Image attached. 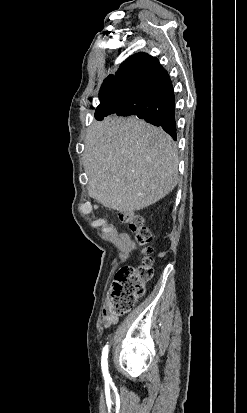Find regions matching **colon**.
Instances as JSON below:
<instances>
[{
	"instance_id": "5ec220e1",
	"label": "colon",
	"mask_w": 247,
	"mask_h": 413,
	"mask_svg": "<svg viewBox=\"0 0 247 413\" xmlns=\"http://www.w3.org/2000/svg\"><path fill=\"white\" fill-rule=\"evenodd\" d=\"M121 220L128 224L136 242L145 245L144 251L151 253L152 231L146 226L144 217L138 213H121ZM153 261L146 258L135 266L122 268L111 285L109 308L112 315H123L130 311L146 293V287L153 279Z\"/></svg>"
}]
</instances>
